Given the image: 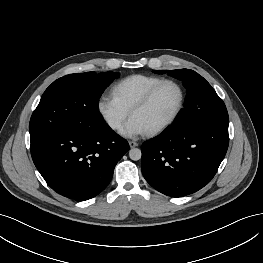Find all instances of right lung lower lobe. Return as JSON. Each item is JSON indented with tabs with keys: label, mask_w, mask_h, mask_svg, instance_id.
Here are the masks:
<instances>
[{
	"label": "right lung lower lobe",
	"mask_w": 263,
	"mask_h": 263,
	"mask_svg": "<svg viewBox=\"0 0 263 263\" xmlns=\"http://www.w3.org/2000/svg\"><path fill=\"white\" fill-rule=\"evenodd\" d=\"M128 150V142L105 121L66 128L31 143L33 162L47 184L76 201L102 192Z\"/></svg>",
	"instance_id": "right-lung-lower-lobe-1"
}]
</instances>
